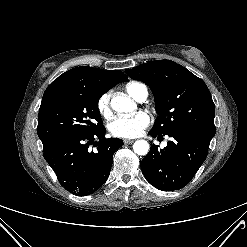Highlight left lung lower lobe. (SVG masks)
Wrapping results in <instances>:
<instances>
[{"mask_svg":"<svg viewBox=\"0 0 247 247\" xmlns=\"http://www.w3.org/2000/svg\"><path fill=\"white\" fill-rule=\"evenodd\" d=\"M153 137L162 134L149 132ZM171 140L163 149L157 145L140 162L146 180L162 191L186 186L205 161L212 138L201 133L177 129L168 134Z\"/></svg>","mask_w":247,"mask_h":247,"instance_id":"obj_1","label":"left lung lower lobe"}]
</instances>
